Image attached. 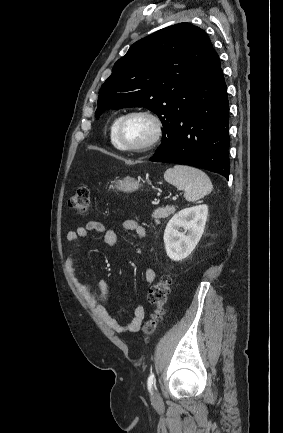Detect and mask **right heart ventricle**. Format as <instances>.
<instances>
[{
    "label": "right heart ventricle",
    "instance_id": "right-heart-ventricle-1",
    "mask_svg": "<svg viewBox=\"0 0 283 433\" xmlns=\"http://www.w3.org/2000/svg\"><path fill=\"white\" fill-rule=\"evenodd\" d=\"M121 117H122L121 114H120V115H117V116L113 119V121H112V123H111V125H110V139H111L112 144H113L116 148H118V149H119V147L117 146V143H116V140H115V128H116V126H117V124H118V122H119V120H120Z\"/></svg>",
    "mask_w": 283,
    "mask_h": 433
}]
</instances>
